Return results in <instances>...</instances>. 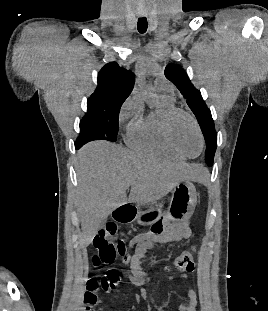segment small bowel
Segmentation results:
<instances>
[{"label": "small bowel", "instance_id": "1", "mask_svg": "<svg viewBox=\"0 0 268 311\" xmlns=\"http://www.w3.org/2000/svg\"><path fill=\"white\" fill-rule=\"evenodd\" d=\"M192 230L188 223L173 225L156 222L151 231L134 237L129 242V248L134 249V254L126 260L128 267L126 273L133 285L143 286L146 283L147 275L140 266V260L145 253L156 246H169L173 242H182L188 239ZM180 279L187 284L188 301L179 306V311H196L198 297L194 289L189 285L187 276L182 274ZM154 293V289L150 288Z\"/></svg>", "mask_w": 268, "mask_h": 311}]
</instances>
